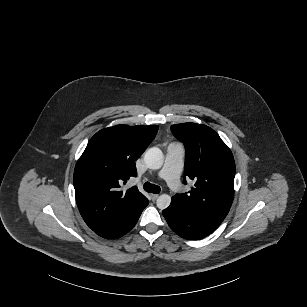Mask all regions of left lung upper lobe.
<instances>
[{
    "label": "left lung upper lobe",
    "instance_id": "obj_1",
    "mask_svg": "<svg viewBox=\"0 0 307 307\" xmlns=\"http://www.w3.org/2000/svg\"><path fill=\"white\" fill-rule=\"evenodd\" d=\"M171 130L185 145V175L196 181L189 194H177L172 199L191 216L216 229L234 197L233 155L208 126L189 122L172 125Z\"/></svg>",
    "mask_w": 307,
    "mask_h": 307
}]
</instances>
